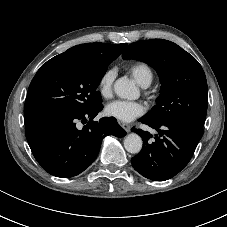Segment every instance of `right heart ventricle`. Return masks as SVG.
I'll use <instances>...</instances> for the list:
<instances>
[{
    "label": "right heart ventricle",
    "mask_w": 227,
    "mask_h": 227,
    "mask_svg": "<svg viewBox=\"0 0 227 227\" xmlns=\"http://www.w3.org/2000/svg\"><path fill=\"white\" fill-rule=\"evenodd\" d=\"M126 71L142 87H148L154 80L152 68L144 62H134L126 66Z\"/></svg>",
    "instance_id": "1"
}]
</instances>
